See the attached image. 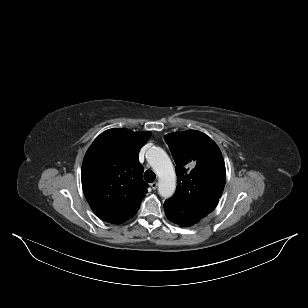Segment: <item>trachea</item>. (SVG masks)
I'll list each match as a JSON object with an SVG mask.
<instances>
[{"label":"trachea","mask_w":308,"mask_h":308,"mask_svg":"<svg viewBox=\"0 0 308 308\" xmlns=\"http://www.w3.org/2000/svg\"><path fill=\"white\" fill-rule=\"evenodd\" d=\"M144 179L148 182V183H152L155 179H156V175L152 170H147L144 173Z\"/></svg>","instance_id":"1"}]
</instances>
